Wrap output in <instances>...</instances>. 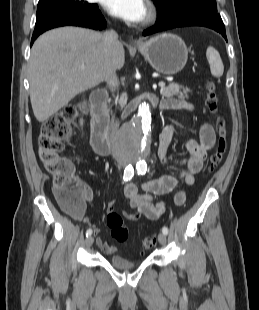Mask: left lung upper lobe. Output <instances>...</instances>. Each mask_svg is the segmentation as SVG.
I'll return each instance as SVG.
<instances>
[{
	"label": "left lung upper lobe",
	"instance_id": "1",
	"mask_svg": "<svg viewBox=\"0 0 259 310\" xmlns=\"http://www.w3.org/2000/svg\"><path fill=\"white\" fill-rule=\"evenodd\" d=\"M158 8L156 23H164L188 13L204 11L218 13L215 0H153Z\"/></svg>",
	"mask_w": 259,
	"mask_h": 310
}]
</instances>
